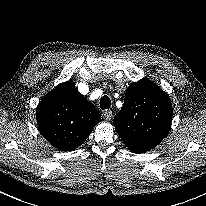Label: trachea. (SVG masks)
Masks as SVG:
<instances>
[{
	"instance_id": "1",
	"label": "trachea",
	"mask_w": 206,
	"mask_h": 206,
	"mask_svg": "<svg viewBox=\"0 0 206 206\" xmlns=\"http://www.w3.org/2000/svg\"><path fill=\"white\" fill-rule=\"evenodd\" d=\"M110 105H111V100L108 96L101 97V99H100V108L102 110L109 109Z\"/></svg>"
}]
</instances>
